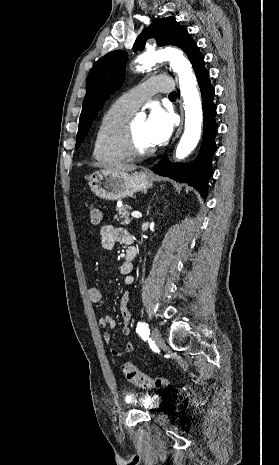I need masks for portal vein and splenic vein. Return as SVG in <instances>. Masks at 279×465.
<instances>
[{"label":"portal vein and splenic vein","mask_w":279,"mask_h":465,"mask_svg":"<svg viewBox=\"0 0 279 465\" xmlns=\"http://www.w3.org/2000/svg\"><path fill=\"white\" fill-rule=\"evenodd\" d=\"M131 216L133 218H140L142 216V214L140 212H138V211H134V212L131 213Z\"/></svg>","instance_id":"obj_1"}]
</instances>
